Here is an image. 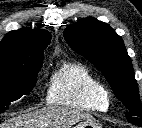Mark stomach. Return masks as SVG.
Listing matches in <instances>:
<instances>
[{"mask_svg": "<svg viewBox=\"0 0 142 128\" xmlns=\"http://www.w3.org/2000/svg\"><path fill=\"white\" fill-rule=\"evenodd\" d=\"M74 128H102V125L94 118H88L79 122Z\"/></svg>", "mask_w": 142, "mask_h": 128, "instance_id": "obj_1", "label": "stomach"}]
</instances>
